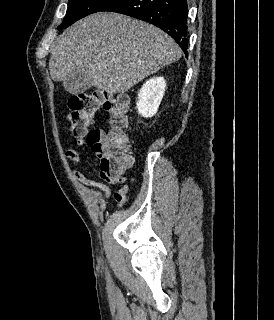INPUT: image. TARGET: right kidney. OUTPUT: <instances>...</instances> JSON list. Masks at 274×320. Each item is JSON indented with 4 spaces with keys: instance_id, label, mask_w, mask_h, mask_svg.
Instances as JSON below:
<instances>
[{
    "instance_id": "right-kidney-1",
    "label": "right kidney",
    "mask_w": 274,
    "mask_h": 320,
    "mask_svg": "<svg viewBox=\"0 0 274 320\" xmlns=\"http://www.w3.org/2000/svg\"><path fill=\"white\" fill-rule=\"evenodd\" d=\"M166 88L164 78H151L138 92L136 108L143 118H153L163 100Z\"/></svg>"
}]
</instances>
